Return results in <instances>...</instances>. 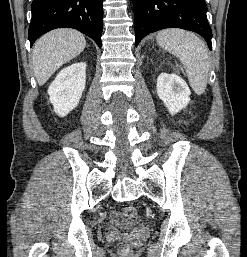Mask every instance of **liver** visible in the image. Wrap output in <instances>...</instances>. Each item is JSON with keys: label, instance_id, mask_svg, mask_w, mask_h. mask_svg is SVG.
I'll return each mask as SVG.
<instances>
[{"label": "liver", "instance_id": "obj_1", "mask_svg": "<svg viewBox=\"0 0 247 257\" xmlns=\"http://www.w3.org/2000/svg\"><path fill=\"white\" fill-rule=\"evenodd\" d=\"M86 47L82 33L74 29H56L40 37L33 48V70L40 86L63 64L79 55Z\"/></svg>", "mask_w": 247, "mask_h": 257}]
</instances>
